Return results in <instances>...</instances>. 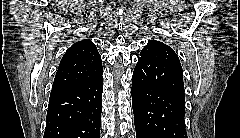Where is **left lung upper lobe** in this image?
<instances>
[{"label":"left lung upper lobe","mask_w":240,"mask_h":138,"mask_svg":"<svg viewBox=\"0 0 240 138\" xmlns=\"http://www.w3.org/2000/svg\"><path fill=\"white\" fill-rule=\"evenodd\" d=\"M156 47H163L172 50L168 45L164 44L163 42L157 41V40H151L148 42V44L143 48L141 52L149 51L150 49L156 48ZM173 51V50H172Z\"/></svg>","instance_id":"1"}]
</instances>
